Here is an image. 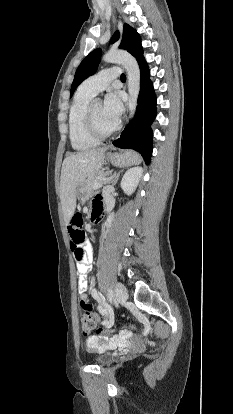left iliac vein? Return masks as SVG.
<instances>
[{"label": "left iliac vein", "instance_id": "left-iliac-vein-1", "mask_svg": "<svg viewBox=\"0 0 233 414\" xmlns=\"http://www.w3.org/2000/svg\"><path fill=\"white\" fill-rule=\"evenodd\" d=\"M115 295L120 303H125L128 299V291L126 287L121 283H117L115 285Z\"/></svg>", "mask_w": 233, "mask_h": 414}]
</instances>
